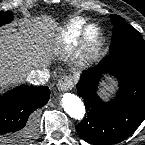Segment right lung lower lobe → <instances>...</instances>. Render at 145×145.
Here are the masks:
<instances>
[{
    "label": "right lung lower lobe",
    "mask_w": 145,
    "mask_h": 145,
    "mask_svg": "<svg viewBox=\"0 0 145 145\" xmlns=\"http://www.w3.org/2000/svg\"><path fill=\"white\" fill-rule=\"evenodd\" d=\"M46 86L21 85L0 95V139L4 142H24L34 133L32 114L48 102Z\"/></svg>",
    "instance_id": "1"
}]
</instances>
